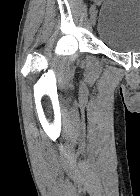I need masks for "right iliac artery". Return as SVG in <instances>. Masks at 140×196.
Segmentation results:
<instances>
[{"instance_id":"1","label":"right iliac artery","mask_w":140,"mask_h":196,"mask_svg":"<svg viewBox=\"0 0 140 196\" xmlns=\"http://www.w3.org/2000/svg\"><path fill=\"white\" fill-rule=\"evenodd\" d=\"M95 10V6L93 5L91 8H90V12H93Z\"/></svg>"}]
</instances>
